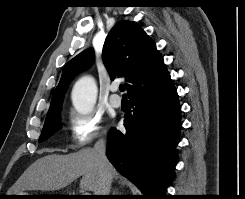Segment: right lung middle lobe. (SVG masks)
Listing matches in <instances>:
<instances>
[{
  "instance_id": "obj_1",
  "label": "right lung middle lobe",
  "mask_w": 245,
  "mask_h": 199,
  "mask_svg": "<svg viewBox=\"0 0 245 199\" xmlns=\"http://www.w3.org/2000/svg\"><path fill=\"white\" fill-rule=\"evenodd\" d=\"M60 111L61 109H59L58 111H56L55 113L49 116H46V120L44 123L42 133L39 138V142L48 139L55 132L58 131V129L60 128V114H59Z\"/></svg>"
}]
</instances>
